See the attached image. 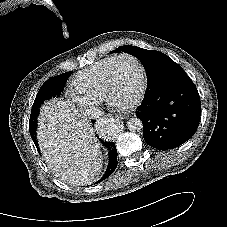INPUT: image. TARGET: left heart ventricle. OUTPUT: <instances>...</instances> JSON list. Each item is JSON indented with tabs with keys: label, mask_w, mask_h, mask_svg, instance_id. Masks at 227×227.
Segmentation results:
<instances>
[{
	"label": "left heart ventricle",
	"mask_w": 227,
	"mask_h": 227,
	"mask_svg": "<svg viewBox=\"0 0 227 227\" xmlns=\"http://www.w3.org/2000/svg\"><path fill=\"white\" fill-rule=\"evenodd\" d=\"M141 86V74L137 64L128 58L121 60L115 69L113 100L120 105L130 103L137 96Z\"/></svg>",
	"instance_id": "b2bd125f"
}]
</instances>
